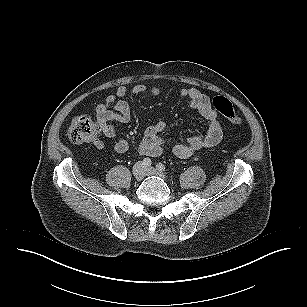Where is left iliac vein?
I'll list each match as a JSON object with an SVG mask.
<instances>
[{"mask_svg": "<svg viewBox=\"0 0 307 307\" xmlns=\"http://www.w3.org/2000/svg\"><path fill=\"white\" fill-rule=\"evenodd\" d=\"M145 173H146V175H148V176H157V177H160V178H162V179H164V180L167 179L166 175H164L163 173L157 171V170H156L155 168H153V167H148V168H146V169H145Z\"/></svg>", "mask_w": 307, "mask_h": 307, "instance_id": "obj_1", "label": "left iliac vein"}]
</instances>
